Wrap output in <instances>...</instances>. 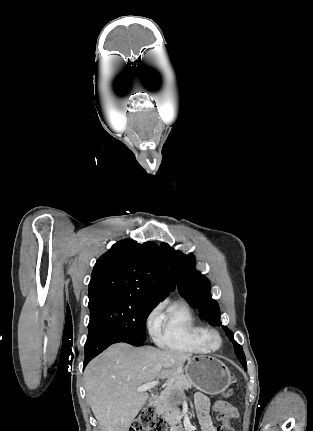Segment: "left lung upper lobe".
<instances>
[{
  "label": "left lung upper lobe",
  "instance_id": "5c2ea615",
  "mask_svg": "<svg viewBox=\"0 0 313 431\" xmlns=\"http://www.w3.org/2000/svg\"><path fill=\"white\" fill-rule=\"evenodd\" d=\"M171 273L177 283L180 295L186 299L191 306L199 308L200 314L206 318L211 325H221L220 309L215 300L209 294L210 282L199 271L194 269L195 257L184 255L182 252L172 249L168 244L161 243ZM226 335L233 342L235 354L246 370L247 363L243 348L233 339V333L223 326Z\"/></svg>",
  "mask_w": 313,
  "mask_h": 431
}]
</instances>
